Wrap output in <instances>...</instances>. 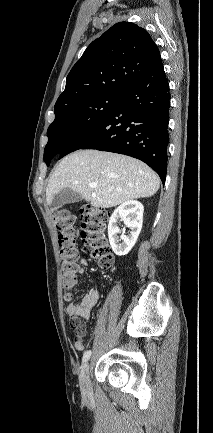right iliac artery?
Returning a JSON list of instances; mask_svg holds the SVG:
<instances>
[{"instance_id": "82829eb1", "label": "right iliac artery", "mask_w": 213, "mask_h": 433, "mask_svg": "<svg viewBox=\"0 0 213 433\" xmlns=\"http://www.w3.org/2000/svg\"><path fill=\"white\" fill-rule=\"evenodd\" d=\"M90 356H91V350L85 351L82 358L83 363H86L90 358Z\"/></svg>"}]
</instances>
